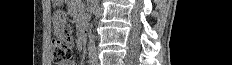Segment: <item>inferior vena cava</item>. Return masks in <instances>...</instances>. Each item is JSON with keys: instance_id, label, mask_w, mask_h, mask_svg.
<instances>
[{"instance_id": "1", "label": "inferior vena cava", "mask_w": 232, "mask_h": 65, "mask_svg": "<svg viewBox=\"0 0 232 65\" xmlns=\"http://www.w3.org/2000/svg\"><path fill=\"white\" fill-rule=\"evenodd\" d=\"M88 56H89L90 61H96L97 60V52H96V46H95L93 36L90 38V41H89Z\"/></svg>"}]
</instances>
